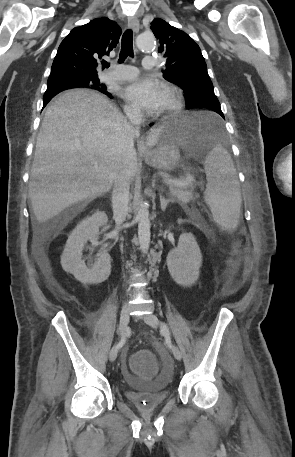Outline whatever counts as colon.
I'll return each instance as SVG.
<instances>
[{
    "mask_svg": "<svg viewBox=\"0 0 295 457\" xmlns=\"http://www.w3.org/2000/svg\"><path fill=\"white\" fill-rule=\"evenodd\" d=\"M247 243V236L240 234L234 244V252L237 254ZM235 261H231V265L234 266ZM133 359L135 363L133 370L136 372V378H155V372L158 370L154 352L146 351L145 347H140L139 351L133 352Z\"/></svg>",
    "mask_w": 295,
    "mask_h": 457,
    "instance_id": "5ec220e1",
    "label": "colon"
}]
</instances>
